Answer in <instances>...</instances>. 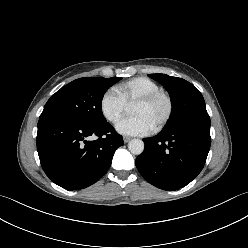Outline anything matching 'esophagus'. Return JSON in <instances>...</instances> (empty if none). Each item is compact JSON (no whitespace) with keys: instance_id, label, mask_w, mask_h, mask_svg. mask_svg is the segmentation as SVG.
Returning a JSON list of instances; mask_svg holds the SVG:
<instances>
[{"instance_id":"1","label":"esophagus","mask_w":248,"mask_h":248,"mask_svg":"<svg viewBox=\"0 0 248 248\" xmlns=\"http://www.w3.org/2000/svg\"><path fill=\"white\" fill-rule=\"evenodd\" d=\"M130 140H131V138L128 137V136H124V137H123L124 143H128Z\"/></svg>"}]
</instances>
